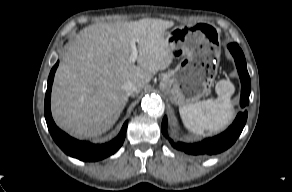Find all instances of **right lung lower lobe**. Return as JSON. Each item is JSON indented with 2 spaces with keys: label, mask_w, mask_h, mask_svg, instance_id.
<instances>
[{
  "label": "right lung lower lobe",
  "mask_w": 292,
  "mask_h": 192,
  "mask_svg": "<svg viewBox=\"0 0 292 192\" xmlns=\"http://www.w3.org/2000/svg\"><path fill=\"white\" fill-rule=\"evenodd\" d=\"M57 67L58 62L50 72L44 104L45 119L52 138L67 155L82 161H98L114 154L124 142L128 121L124 123L119 135L115 139L102 145H94L89 142L73 139L55 125L50 112V97L53 78Z\"/></svg>",
  "instance_id": "obj_1"
}]
</instances>
